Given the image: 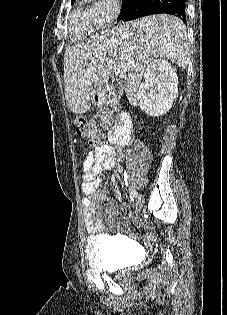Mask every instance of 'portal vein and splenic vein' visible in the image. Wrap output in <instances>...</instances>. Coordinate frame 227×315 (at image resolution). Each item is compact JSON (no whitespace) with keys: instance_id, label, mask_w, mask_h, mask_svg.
I'll use <instances>...</instances> for the list:
<instances>
[{"instance_id":"18ae733b","label":"portal vein and splenic vein","mask_w":227,"mask_h":315,"mask_svg":"<svg viewBox=\"0 0 227 315\" xmlns=\"http://www.w3.org/2000/svg\"><path fill=\"white\" fill-rule=\"evenodd\" d=\"M109 64H110V69L117 77L123 78L126 76V71H127L126 68H121L117 66L115 63H113L112 61H110Z\"/></svg>"}]
</instances>
